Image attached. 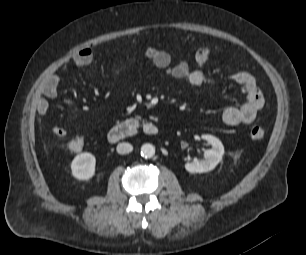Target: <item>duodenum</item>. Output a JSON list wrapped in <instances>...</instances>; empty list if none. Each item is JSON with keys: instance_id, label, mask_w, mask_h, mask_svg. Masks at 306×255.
Segmentation results:
<instances>
[{"instance_id": "1", "label": "duodenum", "mask_w": 306, "mask_h": 255, "mask_svg": "<svg viewBox=\"0 0 306 255\" xmlns=\"http://www.w3.org/2000/svg\"><path fill=\"white\" fill-rule=\"evenodd\" d=\"M139 131L148 136L158 134V127L152 122H143L138 118H131L114 125L108 132V140L116 143L136 135Z\"/></svg>"}]
</instances>
